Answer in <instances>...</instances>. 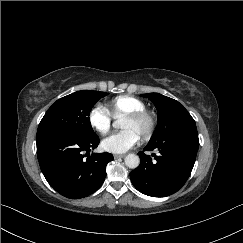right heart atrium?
I'll use <instances>...</instances> for the list:
<instances>
[{"mask_svg":"<svg viewBox=\"0 0 243 243\" xmlns=\"http://www.w3.org/2000/svg\"><path fill=\"white\" fill-rule=\"evenodd\" d=\"M112 115L100 104L94 105L88 112V122L90 126L99 133L109 131L112 124Z\"/></svg>","mask_w":243,"mask_h":243,"instance_id":"d8ad5b80","label":"right heart atrium"}]
</instances>
